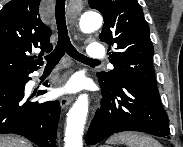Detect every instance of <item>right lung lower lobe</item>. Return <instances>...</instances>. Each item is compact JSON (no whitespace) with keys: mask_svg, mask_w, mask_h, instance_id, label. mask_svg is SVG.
<instances>
[{"mask_svg":"<svg viewBox=\"0 0 183 147\" xmlns=\"http://www.w3.org/2000/svg\"><path fill=\"white\" fill-rule=\"evenodd\" d=\"M35 70L0 80V134H18L39 147H56L59 102H32L24 95L28 75ZM44 93L40 90L38 95Z\"/></svg>","mask_w":183,"mask_h":147,"instance_id":"obj_1","label":"right lung lower lobe"}]
</instances>
